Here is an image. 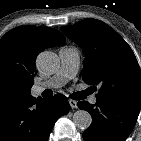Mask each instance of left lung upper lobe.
Returning <instances> with one entry per match:
<instances>
[{"mask_svg":"<svg viewBox=\"0 0 141 141\" xmlns=\"http://www.w3.org/2000/svg\"><path fill=\"white\" fill-rule=\"evenodd\" d=\"M61 30L82 47L85 55L83 80L100 86L97 99L141 105L138 62L130 46L116 31L96 19H86Z\"/></svg>","mask_w":141,"mask_h":141,"instance_id":"1","label":"left lung upper lobe"}]
</instances>
